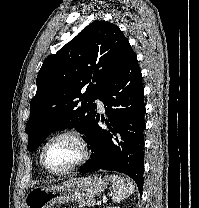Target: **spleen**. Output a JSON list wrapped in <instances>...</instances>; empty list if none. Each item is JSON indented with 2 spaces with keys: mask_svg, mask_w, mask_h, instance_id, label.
<instances>
[{
  "mask_svg": "<svg viewBox=\"0 0 199 208\" xmlns=\"http://www.w3.org/2000/svg\"><path fill=\"white\" fill-rule=\"evenodd\" d=\"M106 178L112 183V200L121 202L134 193L135 186L128 180L118 175H107Z\"/></svg>",
  "mask_w": 199,
  "mask_h": 208,
  "instance_id": "obj_1",
  "label": "spleen"
}]
</instances>
